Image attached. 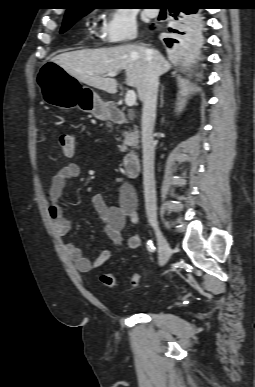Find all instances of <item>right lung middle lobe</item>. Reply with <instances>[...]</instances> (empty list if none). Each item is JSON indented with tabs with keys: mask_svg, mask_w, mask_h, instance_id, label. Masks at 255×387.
I'll list each match as a JSON object with an SVG mask.
<instances>
[{
	"mask_svg": "<svg viewBox=\"0 0 255 387\" xmlns=\"http://www.w3.org/2000/svg\"><path fill=\"white\" fill-rule=\"evenodd\" d=\"M90 11L86 12H70L65 14L64 20H63V25L61 28V33L67 31L75 22L78 18L83 17Z\"/></svg>",
	"mask_w": 255,
	"mask_h": 387,
	"instance_id": "obj_1",
	"label": "right lung middle lobe"
}]
</instances>
